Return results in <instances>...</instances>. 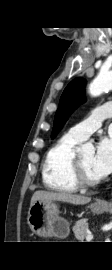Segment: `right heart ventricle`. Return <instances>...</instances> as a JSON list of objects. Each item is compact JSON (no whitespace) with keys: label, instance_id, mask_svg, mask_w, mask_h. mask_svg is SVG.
Instances as JSON below:
<instances>
[{"label":"right heart ventricle","instance_id":"obj_1","mask_svg":"<svg viewBox=\"0 0 112 270\" xmlns=\"http://www.w3.org/2000/svg\"><path fill=\"white\" fill-rule=\"evenodd\" d=\"M80 142L67 133L47 151L42 166V180L47 189L64 194L78 190L70 173V163Z\"/></svg>","mask_w":112,"mask_h":270}]
</instances>
